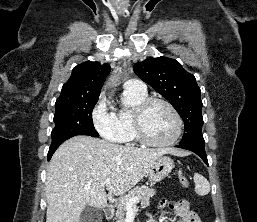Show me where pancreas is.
Instances as JSON below:
<instances>
[{
  "label": "pancreas",
  "mask_w": 257,
  "mask_h": 222,
  "mask_svg": "<svg viewBox=\"0 0 257 222\" xmlns=\"http://www.w3.org/2000/svg\"><path fill=\"white\" fill-rule=\"evenodd\" d=\"M155 194L153 189H149L146 186L136 187L135 189L128 192L127 195L119 198L116 203V222H124V216L127 211L126 202L133 197H138L142 206H148L150 203V198ZM138 203V202H137ZM136 204V203H135Z\"/></svg>",
  "instance_id": "1"
}]
</instances>
